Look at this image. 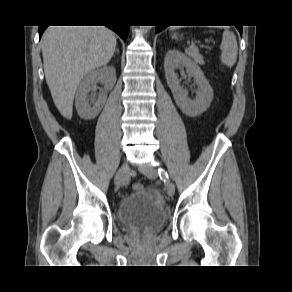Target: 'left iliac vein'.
<instances>
[{
	"label": "left iliac vein",
	"mask_w": 292,
	"mask_h": 292,
	"mask_svg": "<svg viewBox=\"0 0 292 292\" xmlns=\"http://www.w3.org/2000/svg\"><path fill=\"white\" fill-rule=\"evenodd\" d=\"M140 172L144 174L146 177L149 179H154L157 177V171L153 167H148V166H141L140 167ZM166 192L168 196L173 197L175 194V187L173 183H169L166 186Z\"/></svg>",
	"instance_id": "1"
}]
</instances>
